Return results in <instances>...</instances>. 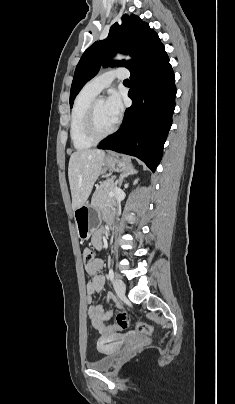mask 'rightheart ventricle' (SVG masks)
<instances>
[{
  "label": "right heart ventricle",
  "mask_w": 235,
  "mask_h": 404,
  "mask_svg": "<svg viewBox=\"0 0 235 404\" xmlns=\"http://www.w3.org/2000/svg\"><path fill=\"white\" fill-rule=\"evenodd\" d=\"M95 95L84 89L77 95L70 116V138L73 146L77 150H86L95 143L91 141L85 133V120L90 104Z\"/></svg>",
  "instance_id": "1"
}]
</instances>
